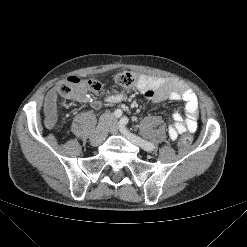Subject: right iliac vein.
I'll return each instance as SVG.
<instances>
[{
	"label": "right iliac vein",
	"mask_w": 247,
	"mask_h": 247,
	"mask_svg": "<svg viewBox=\"0 0 247 247\" xmlns=\"http://www.w3.org/2000/svg\"><path fill=\"white\" fill-rule=\"evenodd\" d=\"M110 122H111V117L108 114L102 116L94 131V134L90 138L91 144L98 145L105 140L108 133Z\"/></svg>",
	"instance_id": "63e3f726"
}]
</instances>
